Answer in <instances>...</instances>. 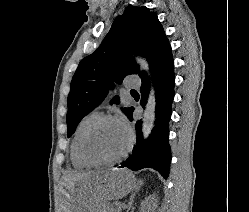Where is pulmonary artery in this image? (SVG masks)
Segmentation results:
<instances>
[{"mask_svg":"<svg viewBox=\"0 0 249 212\" xmlns=\"http://www.w3.org/2000/svg\"><path fill=\"white\" fill-rule=\"evenodd\" d=\"M124 86H125L126 88H128V89L135 88V86H134L133 84L129 83V82H125V83H124Z\"/></svg>","mask_w":249,"mask_h":212,"instance_id":"obj_1","label":"pulmonary artery"}]
</instances>
